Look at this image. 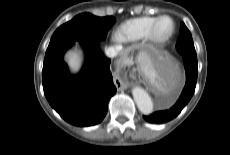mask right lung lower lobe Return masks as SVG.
Segmentation results:
<instances>
[{
    "mask_svg": "<svg viewBox=\"0 0 230 155\" xmlns=\"http://www.w3.org/2000/svg\"><path fill=\"white\" fill-rule=\"evenodd\" d=\"M72 44L47 49L42 71L44 94L65 121L81 127L95 125L105 117L108 102L116 93L109 69L111 60L94 40H81L86 60L81 72L72 76L63 61Z\"/></svg>",
    "mask_w": 230,
    "mask_h": 155,
    "instance_id": "obj_1",
    "label": "right lung lower lobe"
}]
</instances>
